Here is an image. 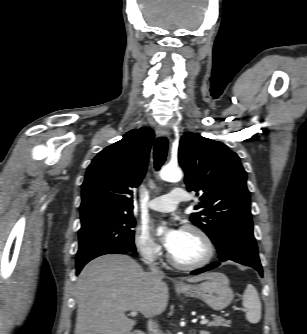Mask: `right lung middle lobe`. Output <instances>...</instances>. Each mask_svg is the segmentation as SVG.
Masks as SVG:
<instances>
[{"label": "right lung middle lobe", "instance_id": "dd1d6c3e", "mask_svg": "<svg viewBox=\"0 0 307 334\" xmlns=\"http://www.w3.org/2000/svg\"><path fill=\"white\" fill-rule=\"evenodd\" d=\"M132 214L97 213L81 217L76 266L114 251L135 249Z\"/></svg>", "mask_w": 307, "mask_h": 334}]
</instances>
